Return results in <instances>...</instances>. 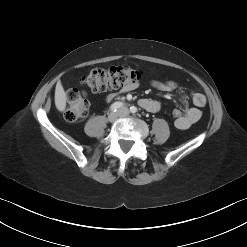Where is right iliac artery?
I'll return each mask as SVG.
<instances>
[{"label":"right iliac artery","mask_w":247,"mask_h":247,"mask_svg":"<svg viewBox=\"0 0 247 247\" xmlns=\"http://www.w3.org/2000/svg\"><path fill=\"white\" fill-rule=\"evenodd\" d=\"M123 106L122 102H115L110 106V110L115 112L117 111L119 108H121Z\"/></svg>","instance_id":"1"}]
</instances>
